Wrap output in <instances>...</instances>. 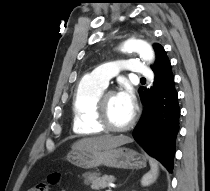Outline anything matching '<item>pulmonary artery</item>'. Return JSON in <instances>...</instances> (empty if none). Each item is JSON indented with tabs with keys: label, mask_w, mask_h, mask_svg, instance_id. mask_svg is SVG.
<instances>
[{
	"label": "pulmonary artery",
	"mask_w": 210,
	"mask_h": 191,
	"mask_svg": "<svg viewBox=\"0 0 210 191\" xmlns=\"http://www.w3.org/2000/svg\"><path fill=\"white\" fill-rule=\"evenodd\" d=\"M121 70H130L139 76L149 77L151 71L139 60L122 59L113 62L101 64L87 74V78L96 81L103 86H107L109 80L117 75Z\"/></svg>",
	"instance_id": "e3ab8cb5"
}]
</instances>
